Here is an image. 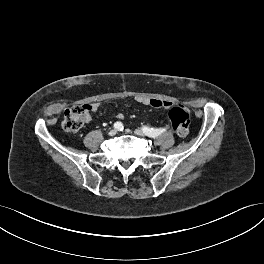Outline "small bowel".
Segmentation results:
<instances>
[{
  "instance_id": "1",
  "label": "small bowel",
  "mask_w": 264,
  "mask_h": 264,
  "mask_svg": "<svg viewBox=\"0 0 264 264\" xmlns=\"http://www.w3.org/2000/svg\"><path fill=\"white\" fill-rule=\"evenodd\" d=\"M137 101L143 105H150V106L156 107V108L169 109L173 105V103L170 101L151 99V98H146V97H139V98H137ZM88 106L90 107V111H96L99 107V104L98 103H92V104H89ZM117 117L119 119H122L123 115L118 114ZM87 121H89V117L87 118Z\"/></svg>"
}]
</instances>
